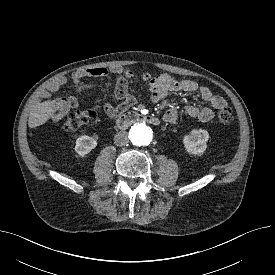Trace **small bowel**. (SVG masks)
<instances>
[{
	"mask_svg": "<svg viewBox=\"0 0 275 275\" xmlns=\"http://www.w3.org/2000/svg\"><path fill=\"white\" fill-rule=\"evenodd\" d=\"M110 73L119 75L114 85L115 100L114 102L107 103L104 107L105 113L111 117L120 115L135 103L134 97L128 91L127 79H138L146 82L149 85L151 100L153 102L162 100L169 92H197L202 100L208 103L209 106L200 108L190 104L186 106L185 110L189 116L197 118L201 122H209L214 117V110H220L227 105L223 97L214 94L206 86H199L193 80H177L168 74H162L157 77L152 76L148 72L136 74L130 68L124 66H115L113 68L93 67L79 69L71 74V81L76 84L75 94L57 103L58 111L51 115V119L53 121H58L63 111L73 110L78 107V96L82 90L88 87V85L82 83L83 78L105 77ZM66 81L67 79L65 77L57 78L51 83L48 91H58ZM48 97L49 94L46 93L45 98ZM177 117V109L171 108L165 112L163 118L165 122L171 124L177 120Z\"/></svg>",
	"mask_w": 275,
	"mask_h": 275,
	"instance_id": "c3829d8e",
	"label": "small bowel"
}]
</instances>
